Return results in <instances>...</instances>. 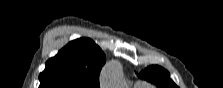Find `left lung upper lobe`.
<instances>
[{"label":"left lung upper lobe","instance_id":"left-lung-upper-lobe-1","mask_svg":"<svg viewBox=\"0 0 223 88\" xmlns=\"http://www.w3.org/2000/svg\"><path fill=\"white\" fill-rule=\"evenodd\" d=\"M138 76L155 84L159 88H178L170 79L169 73L159 66H150L145 69V73L141 72Z\"/></svg>","mask_w":223,"mask_h":88}]
</instances>
